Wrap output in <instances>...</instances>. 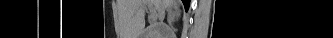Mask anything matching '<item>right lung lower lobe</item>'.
I'll use <instances>...</instances> for the list:
<instances>
[{
  "instance_id": "98d812e1",
  "label": "right lung lower lobe",
  "mask_w": 333,
  "mask_h": 38,
  "mask_svg": "<svg viewBox=\"0 0 333 38\" xmlns=\"http://www.w3.org/2000/svg\"><path fill=\"white\" fill-rule=\"evenodd\" d=\"M182 1H183L184 5H185V8L187 10L188 7H189L190 0H182Z\"/></svg>"
}]
</instances>
